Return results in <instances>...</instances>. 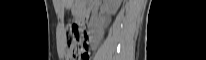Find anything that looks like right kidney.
Instances as JSON below:
<instances>
[{
	"mask_svg": "<svg viewBox=\"0 0 206 60\" xmlns=\"http://www.w3.org/2000/svg\"><path fill=\"white\" fill-rule=\"evenodd\" d=\"M107 7L110 8V12L111 13H114L119 5V3L117 2H108L106 3ZM92 27H93V32L94 34L97 36V37H100L101 34H102V31H101V27H100V23L98 21H94L93 24H92Z\"/></svg>",
	"mask_w": 206,
	"mask_h": 60,
	"instance_id": "1",
	"label": "right kidney"
}]
</instances>
